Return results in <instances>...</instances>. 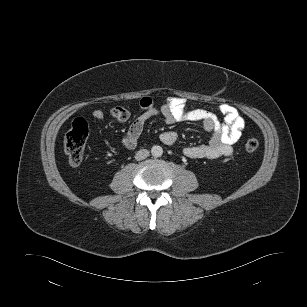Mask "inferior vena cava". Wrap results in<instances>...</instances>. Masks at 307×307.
I'll list each match as a JSON object with an SVG mask.
<instances>
[{"label":"inferior vena cava","mask_w":307,"mask_h":307,"mask_svg":"<svg viewBox=\"0 0 307 307\" xmlns=\"http://www.w3.org/2000/svg\"><path fill=\"white\" fill-rule=\"evenodd\" d=\"M148 156H149V151L147 149H141L136 153L135 159L137 161H140L147 158Z\"/></svg>","instance_id":"1"}]
</instances>
